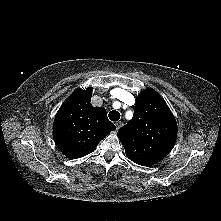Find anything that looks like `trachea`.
<instances>
[{
    "mask_svg": "<svg viewBox=\"0 0 221 221\" xmlns=\"http://www.w3.org/2000/svg\"><path fill=\"white\" fill-rule=\"evenodd\" d=\"M108 117L111 121H118L120 119V113L118 111H111L109 114H108Z\"/></svg>",
    "mask_w": 221,
    "mask_h": 221,
    "instance_id": "obj_1",
    "label": "trachea"
}]
</instances>
